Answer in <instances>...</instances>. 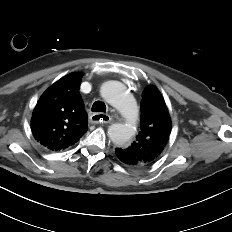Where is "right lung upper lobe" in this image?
Instances as JSON below:
<instances>
[{"label":"right lung upper lobe","instance_id":"obj_1","mask_svg":"<svg viewBox=\"0 0 232 232\" xmlns=\"http://www.w3.org/2000/svg\"><path fill=\"white\" fill-rule=\"evenodd\" d=\"M83 74L70 73L51 85L38 100L31 118L34 138L51 151L74 145L88 130L79 89Z\"/></svg>","mask_w":232,"mask_h":232}]
</instances>
